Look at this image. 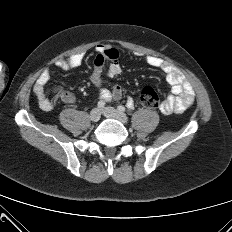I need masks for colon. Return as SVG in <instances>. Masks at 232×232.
Returning a JSON list of instances; mask_svg holds the SVG:
<instances>
[{"mask_svg":"<svg viewBox=\"0 0 232 232\" xmlns=\"http://www.w3.org/2000/svg\"><path fill=\"white\" fill-rule=\"evenodd\" d=\"M141 103L150 109H158L161 105V100L157 91L149 86L142 89L140 94Z\"/></svg>","mask_w":232,"mask_h":232,"instance_id":"obj_1","label":"colon"}]
</instances>
